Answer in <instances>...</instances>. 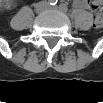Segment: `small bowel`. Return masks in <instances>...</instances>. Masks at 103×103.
Segmentation results:
<instances>
[{
  "label": "small bowel",
  "mask_w": 103,
  "mask_h": 103,
  "mask_svg": "<svg viewBox=\"0 0 103 103\" xmlns=\"http://www.w3.org/2000/svg\"><path fill=\"white\" fill-rule=\"evenodd\" d=\"M76 5L79 6V7H82V8H89V3L87 1H76ZM4 7H10L11 4L10 2H5L3 4Z\"/></svg>",
  "instance_id": "c3829d8e"
}]
</instances>
